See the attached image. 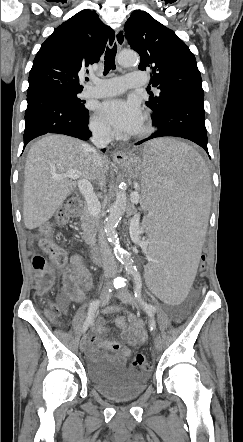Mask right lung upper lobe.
I'll return each instance as SVG.
<instances>
[{"mask_svg": "<svg viewBox=\"0 0 243 442\" xmlns=\"http://www.w3.org/2000/svg\"><path fill=\"white\" fill-rule=\"evenodd\" d=\"M114 31L95 11L84 9L57 27L41 45L29 74L27 93L39 90L82 91L80 76L99 61Z\"/></svg>", "mask_w": 243, "mask_h": 442, "instance_id": "right-lung-upper-lobe-1", "label": "right lung upper lobe"}]
</instances>
